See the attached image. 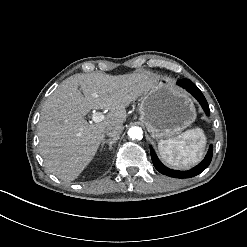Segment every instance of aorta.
Instances as JSON below:
<instances>
[{"mask_svg": "<svg viewBox=\"0 0 247 247\" xmlns=\"http://www.w3.org/2000/svg\"><path fill=\"white\" fill-rule=\"evenodd\" d=\"M128 135L130 138H132L133 140L135 139H141L143 137V131L140 127L135 126V127H131L128 130Z\"/></svg>", "mask_w": 247, "mask_h": 247, "instance_id": "obj_1", "label": "aorta"}]
</instances>
